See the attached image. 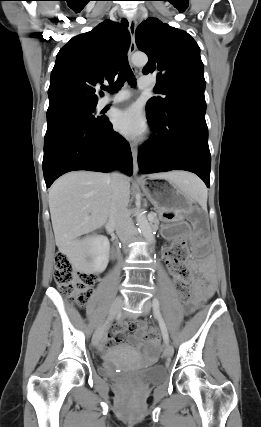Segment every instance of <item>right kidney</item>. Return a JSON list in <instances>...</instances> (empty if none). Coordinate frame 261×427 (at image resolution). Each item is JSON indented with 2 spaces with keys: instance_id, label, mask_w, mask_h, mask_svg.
<instances>
[{
  "instance_id": "1",
  "label": "right kidney",
  "mask_w": 261,
  "mask_h": 427,
  "mask_svg": "<svg viewBox=\"0 0 261 427\" xmlns=\"http://www.w3.org/2000/svg\"><path fill=\"white\" fill-rule=\"evenodd\" d=\"M91 268L94 272H103L109 262L110 244L104 236H92L88 238Z\"/></svg>"
}]
</instances>
